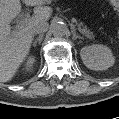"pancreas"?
Instances as JSON below:
<instances>
[{
	"label": "pancreas",
	"instance_id": "obj_1",
	"mask_svg": "<svg viewBox=\"0 0 119 119\" xmlns=\"http://www.w3.org/2000/svg\"><path fill=\"white\" fill-rule=\"evenodd\" d=\"M78 30L80 33H82L83 35H85L87 38H91L92 37V32H90L86 26H83L82 23L78 24Z\"/></svg>",
	"mask_w": 119,
	"mask_h": 119
}]
</instances>
